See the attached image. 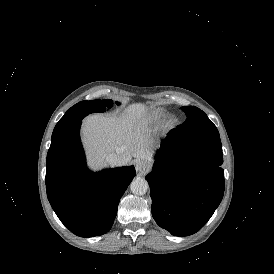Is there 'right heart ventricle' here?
<instances>
[{
  "label": "right heart ventricle",
  "instance_id": "1",
  "mask_svg": "<svg viewBox=\"0 0 274 274\" xmlns=\"http://www.w3.org/2000/svg\"><path fill=\"white\" fill-rule=\"evenodd\" d=\"M165 111L159 108L151 110L139 123V128L160 125L165 118Z\"/></svg>",
  "mask_w": 274,
  "mask_h": 274
}]
</instances>
